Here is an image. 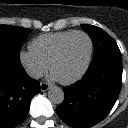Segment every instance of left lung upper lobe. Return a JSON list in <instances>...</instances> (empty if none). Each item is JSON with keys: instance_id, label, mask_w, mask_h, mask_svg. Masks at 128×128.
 Segmentation results:
<instances>
[{"instance_id": "5c2ea615", "label": "left lung upper lobe", "mask_w": 128, "mask_h": 128, "mask_svg": "<svg viewBox=\"0 0 128 128\" xmlns=\"http://www.w3.org/2000/svg\"><path fill=\"white\" fill-rule=\"evenodd\" d=\"M82 27L88 31L94 44L93 58L103 52L119 50L115 40L101 28L89 24H83Z\"/></svg>"}]
</instances>
